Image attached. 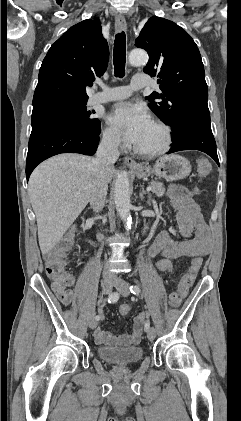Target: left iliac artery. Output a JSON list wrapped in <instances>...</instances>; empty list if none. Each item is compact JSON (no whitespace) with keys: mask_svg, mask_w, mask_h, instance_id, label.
Masks as SVG:
<instances>
[{"mask_svg":"<svg viewBox=\"0 0 241 421\" xmlns=\"http://www.w3.org/2000/svg\"><path fill=\"white\" fill-rule=\"evenodd\" d=\"M130 291L134 295H139L140 288H139L138 285H131L130 286ZM144 328H145V331H148L149 330V328H150V322H149V320L146 321Z\"/></svg>","mask_w":241,"mask_h":421,"instance_id":"obj_1","label":"left iliac artery"}]
</instances>
